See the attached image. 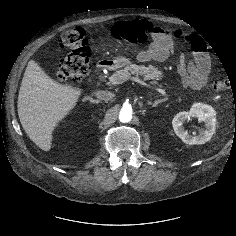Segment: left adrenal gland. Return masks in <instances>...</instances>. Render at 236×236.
Returning a JSON list of instances; mask_svg holds the SVG:
<instances>
[{
  "label": "left adrenal gland",
  "mask_w": 236,
  "mask_h": 236,
  "mask_svg": "<svg viewBox=\"0 0 236 236\" xmlns=\"http://www.w3.org/2000/svg\"><path fill=\"white\" fill-rule=\"evenodd\" d=\"M167 100H168V98L166 97V98H163V99L154 101L153 104H152L151 102H149V104H151L152 107H156V106H158V104H160V103H162V102H165V101H167Z\"/></svg>",
  "instance_id": "left-adrenal-gland-1"
}]
</instances>
